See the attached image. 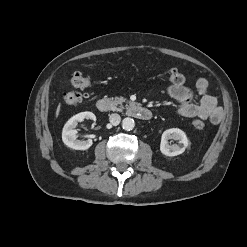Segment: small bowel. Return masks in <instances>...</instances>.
<instances>
[{"label": "small bowel", "instance_id": "1", "mask_svg": "<svg viewBox=\"0 0 247 247\" xmlns=\"http://www.w3.org/2000/svg\"><path fill=\"white\" fill-rule=\"evenodd\" d=\"M195 87L199 96L198 103L193 101V93L186 85H173L167 88L168 96L179 102L178 114L185 118H199L218 124L223 118V112L217 99L210 95L208 81L199 78Z\"/></svg>", "mask_w": 247, "mask_h": 247}]
</instances>
